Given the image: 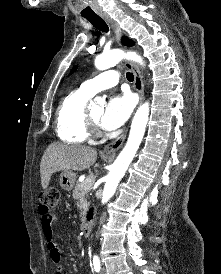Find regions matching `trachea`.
Returning a JSON list of instances; mask_svg holds the SVG:
<instances>
[{
  "label": "trachea",
  "instance_id": "trachea-1",
  "mask_svg": "<svg viewBox=\"0 0 221 274\" xmlns=\"http://www.w3.org/2000/svg\"><path fill=\"white\" fill-rule=\"evenodd\" d=\"M86 19L96 28L102 32H108L109 28L106 22L99 16L86 17ZM127 80L132 82L134 80V75L131 72L126 74Z\"/></svg>",
  "mask_w": 221,
  "mask_h": 274
}]
</instances>
